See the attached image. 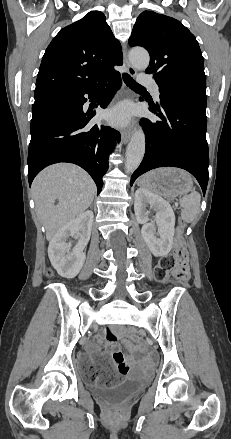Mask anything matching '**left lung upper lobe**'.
I'll return each mask as SVG.
<instances>
[{
  "instance_id": "left-lung-upper-lobe-1",
  "label": "left lung upper lobe",
  "mask_w": 231,
  "mask_h": 439,
  "mask_svg": "<svg viewBox=\"0 0 231 439\" xmlns=\"http://www.w3.org/2000/svg\"><path fill=\"white\" fill-rule=\"evenodd\" d=\"M129 45L150 54L146 73L159 87L190 86L206 90L204 59L195 36L178 20L143 11L133 27Z\"/></svg>"
}]
</instances>
